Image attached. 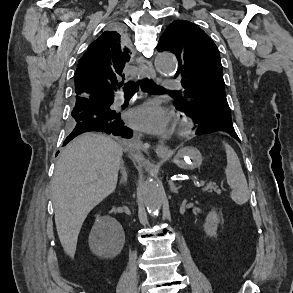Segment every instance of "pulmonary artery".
<instances>
[{
    "instance_id": "e3ab8cb5",
    "label": "pulmonary artery",
    "mask_w": 293,
    "mask_h": 293,
    "mask_svg": "<svg viewBox=\"0 0 293 293\" xmlns=\"http://www.w3.org/2000/svg\"><path fill=\"white\" fill-rule=\"evenodd\" d=\"M162 85L166 90H178L180 88L179 83H176V82L171 81V80H164ZM121 103H122V98L118 97L117 104H121Z\"/></svg>"
}]
</instances>
